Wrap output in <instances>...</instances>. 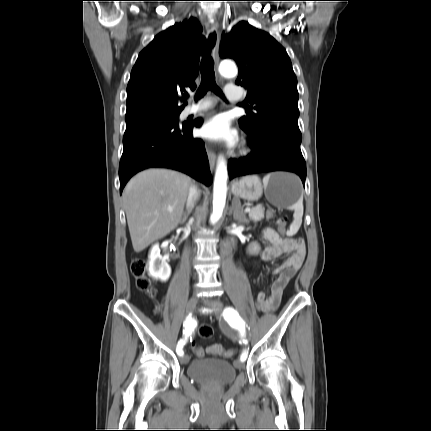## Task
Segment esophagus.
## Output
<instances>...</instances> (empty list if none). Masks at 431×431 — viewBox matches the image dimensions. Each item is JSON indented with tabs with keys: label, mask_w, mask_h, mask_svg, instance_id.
Returning <instances> with one entry per match:
<instances>
[{
	"label": "esophagus",
	"mask_w": 431,
	"mask_h": 431,
	"mask_svg": "<svg viewBox=\"0 0 431 431\" xmlns=\"http://www.w3.org/2000/svg\"><path fill=\"white\" fill-rule=\"evenodd\" d=\"M206 28L207 31L209 33H215L217 35V39H216V43L213 47L212 50V55H213V59L215 61L216 64H218L219 62V54H218V46H219V35H218V23L213 20V21H209L206 24ZM207 155H208V160H209V167L210 169L213 171L215 169V165H216V161H217V156L215 154V152L208 146L207 147Z\"/></svg>",
	"instance_id": "esophagus-1"
}]
</instances>
